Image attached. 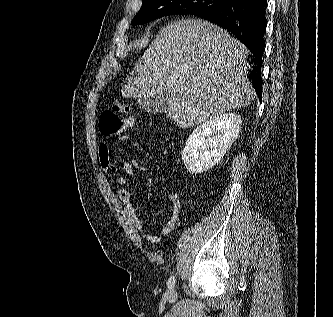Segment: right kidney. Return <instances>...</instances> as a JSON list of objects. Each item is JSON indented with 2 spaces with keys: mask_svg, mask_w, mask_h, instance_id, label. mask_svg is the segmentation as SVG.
<instances>
[{
  "mask_svg": "<svg viewBox=\"0 0 333 317\" xmlns=\"http://www.w3.org/2000/svg\"><path fill=\"white\" fill-rule=\"evenodd\" d=\"M241 116L235 112L213 116L197 126L187 139L182 160L192 174H201L220 162L238 137Z\"/></svg>",
  "mask_w": 333,
  "mask_h": 317,
  "instance_id": "right-kidney-1",
  "label": "right kidney"
}]
</instances>
